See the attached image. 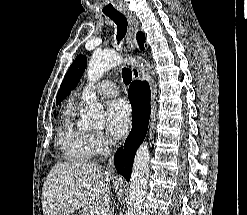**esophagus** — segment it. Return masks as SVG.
Instances as JSON below:
<instances>
[{"mask_svg": "<svg viewBox=\"0 0 247 215\" xmlns=\"http://www.w3.org/2000/svg\"><path fill=\"white\" fill-rule=\"evenodd\" d=\"M123 14L127 17L128 22H129V27H128V33H127V38H126V43L128 49L133 52L137 49V42H136V32L138 30L139 24L136 19V17L133 15L131 11H129L127 8L122 10ZM132 70V76L134 80H143V76L139 70V67L137 65L132 64L131 66ZM109 168H113V161H109Z\"/></svg>", "mask_w": 247, "mask_h": 215, "instance_id": "obj_1", "label": "esophagus"}]
</instances>
